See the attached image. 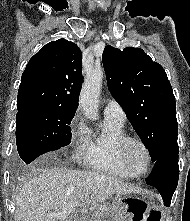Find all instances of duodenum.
<instances>
[{
	"mask_svg": "<svg viewBox=\"0 0 190 221\" xmlns=\"http://www.w3.org/2000/svg\"><path fill=\"white\" fill-rule=\"evenodd\" d=\"M76 221H86L85 219H78V220H76Z\"/></svg>",
	"mask_w": 190,
	"mask_h": 221,
	"instance_id": "410a0bca",
	"label": "duodenum"
}]
</instances>
